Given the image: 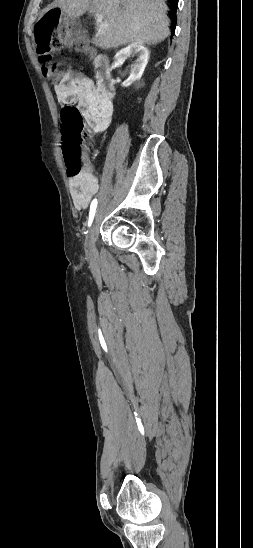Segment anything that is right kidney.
I'll use <instances>...</instances> for the list:
<instances>
[{
  "label": "right kidney",
  "instance_id": "obj_1",
  "mask_svg": "<svg viewBox=\"0 0 253 548\" xmlns=\"http://www.w3.org/2000/svg\"><path fill=\"white\" fill-rule=\"evenodd\" d=\"M131 55H137V60L131 70L129 78L125 82H123L122 85L124 87H128L133 82H136L139 86H142L140 80L148 63L150 55L149 50L143 44L131 43L127 47L118 51L115 55V59L119 63H123L127 59V57ZM112 82H114V80H112Z\"/></svg>",
  "mask_w": 253,
  "mask_h": 548
}]
</instances>
